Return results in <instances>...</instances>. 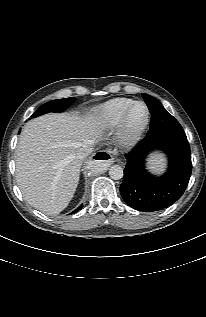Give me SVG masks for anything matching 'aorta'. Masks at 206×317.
I'll return each instance as SVG.
<instances>
[{
	"mask_svg": "<svg viewBox=\"0 0 206 317\" xmlns=\"http://www.w3.org/2000/svg\"><path fill=\"white\" fill-rule=\"evenodd\" d=\"M124 172H123V168L119 165H113L110 167L109 169V176L113 179V180H119L121 178H123Z\"/></svg>",
	"mask_w": 206,
	"mask_h": 317,
	"instance_id": "obj_1",
	"label": "aorta"
}]
</instances>
